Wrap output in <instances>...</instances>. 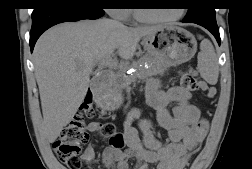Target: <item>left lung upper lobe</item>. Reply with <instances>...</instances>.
I'll return each mask as SVG.
<instances>
[{"instance_id": "5c2ea615", "label": "left lung upper lobe", "mask_w": 252, "mask_h": 169, "mask_svg": "<svg viewBox=\"0 0 252 169\" xmlns=\"http://www.w3.org/2000/svg\"><path fill=\"white\" fill-rule=\"evenodd\" d=\"M192 2L193 6L188 8V13L184 18L185 21H216L215 9L212 7L213 0H192Z\"/></svg>"}]
</instances>
